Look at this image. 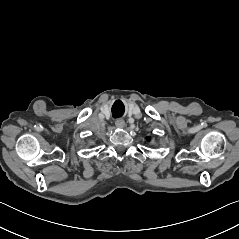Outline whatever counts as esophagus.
<instances>
[{
    "mask_svg": "<svg viewBox=\"0 0 239 239\" xmlns=\"http://www.w3.org/2000/svg\"><path fill=\"white\" fill-rule=\"evenodd\" d=\"M115 125H116L118 128H123L124 125H125V122H124L123 119H118V120H116Z\"/></svg>",
    "mask_w": 239,
    "mask_h": 239,
    "instance_id": "esophagus-1",
    "label": "esophagus"
}]
</instances>
